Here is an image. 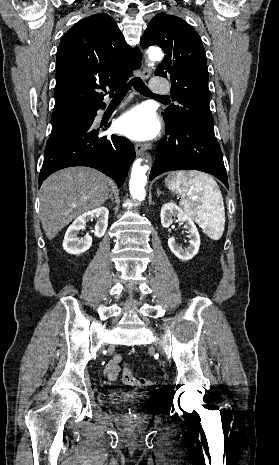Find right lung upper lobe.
<instances>
[{
  "label": "right lung upper lobe",
  "mask_w": 279,
  "mask_h": 465,
  "mask_svg": "<svg viewBox=\"0 0 279 465\" xmlns=\"http://www.w3.org/2000/svg\"><path fill=\"white\" fill-rule=\"evenodd\" d=\"M108 14H95L76 23L62 38L56 61L55 106L52 126L79 117L102 102L141 65Z\"/></svg>",
  "instance_id": "cb5924a9"
}]
</instances>
